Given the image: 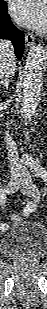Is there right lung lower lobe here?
<instances>
[{"mask_svg":"<svg viewBox=\"0 0 47 309\" xmlns=\"http://www.w3.org/2000/svg\"><path fill=\"white\" fill-rule=\"evenodd\" d=\"M0 38L12 41L16 57L20 60L24 49V35L12 24L5 1L0 2Z\"/></svg>","mask_w":47,"mask_h":309,"instance_id":"1","label":"right lung lower lobe"}]
</instances>
